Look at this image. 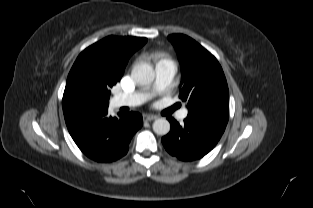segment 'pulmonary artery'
<instances>
[{"label": "pulmonary artery", "mask_w": 313, "mask_h": 208, "mask_svg": "<svg viewBox=\"0 0 313 208\" xmlns=\"http://www.w3.org/2000/svg\"><path fill=\"white\" fill-rule=\"evenodd\" d=\"M176 66L169 60H163L159 62L155 67V81L152 86V90L138 91L134 93H120L112 98V105L116 108L119 107H133L140 105L147 101L153 94L163 91L168 88L175 76ZM188 111L184 109L180 118L183 119L187 116Z\"/></svg>", "instance_id": "e3ab8cb5"}]
</instances>
